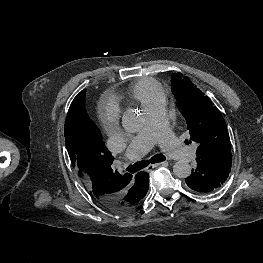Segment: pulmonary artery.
Segmentation results:
<instances>
[{
	"label": "pulmonary artery",
	"mask_w": 263,
	"mask_h": 263,
	"mask_svg": "<svg viewBox=\"0 0 263 263\" xmlns=\"http://www.w3.org/2000/svg\"><path fill=\"white\" fill-rule=\"evenodd\" d=\"M146 122L133 138L124 155L125 161H134L158 144L168 155L183 161L195 157V147L184 146L171 131L166 117L165 101L160 99L144 109Z\"/></svg>",
	"instance_id": "1"
}]
</instances>
